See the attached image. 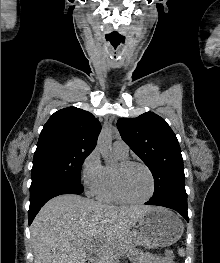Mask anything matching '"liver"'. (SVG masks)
I'll use <instances>...</instances> for the list:
<instances>
[{
    "mask_svg": "<svg viewBox=\"0 0 220 263\" xmlns=\"http://www.w3.org/2000/svg\"><path fill=\"white\" fill-rule=\"evenodd\" d=\"M153 207L111 206L79 195L49 200L31 225L34 263H86V247L98 244L99 261ZM107 263L112 258L105 260Z\"/></svg>",
    "mask_w": 220,
    "mask_h": 263,
    "instance_id": "1",
    "label": "liver"
}]
</instances>
